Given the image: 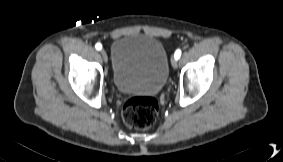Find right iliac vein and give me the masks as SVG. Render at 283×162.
Returning <instances> with one entry per match:
<instances>
[{
    "label": "right iliac vein",
    "instance_id": "obj_1",
    "mask_svg": "<svg viewBox=\"0 0 283 162\" xmlns=\"http://www.w3.org/2000/svg\"><path fill=\"white\" fill-rule=\"evenodd\" d=\"M100 53H101V55H102L103 60H104L105 62H107L108 57H107L106 51L103 49V50H101Z\"/></svg>",
    "mask_w": 283,
    "mask_h": 162
}]
</instances>
